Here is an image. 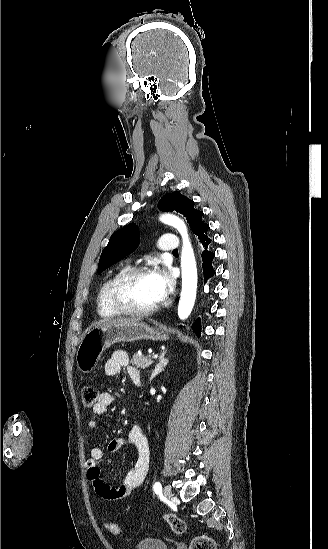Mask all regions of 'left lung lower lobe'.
Masks as SVG:
<instances>
[{
    "mask_svg": "<svg viewBox=\"0 0 328 549\" xmlns=\"http://www.w3.org/2000/svg\"><path fill=\"white\" fill-rule=\"evenodd\" d=\"M200 242L204 247V251L202 252V261H203L202 268L204 273V283H206L207 280L215 274V271L212 267V261L215 256V253L208 250V245L211 243V239H209L207 236H203L202 238H200ZM192 328L195 330L198 336L201 335L200 318H198L193 323Z\"/></svg>",
    "mask_w": 328,
    "mask_h": 549,
    "instance_id": "1",
    "label": "left lung lower lobe"
}]
</instances>
